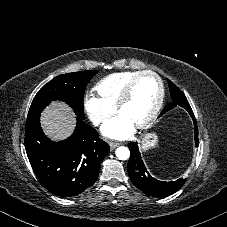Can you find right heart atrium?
Here are the masks:
<instances>
[{
	"instance_id": "1",
	"label": "right heart atrium",
	"mask_w": 227,
	"mask_h": 227,
	"mask_svg": "<svg viewBox=\"0 0 227 227\" xmlns=\"http://www.w3.org/2000/svg\"><path fill=\"white\" fill-rule=\"evenodd\" d=\"M84 110L94 125L102 124L114 113V107L95 95L85 97Z\"/></svg>"
}]
</instances>
